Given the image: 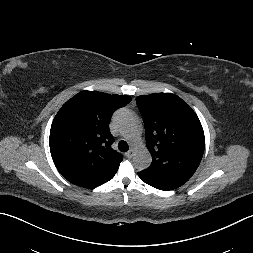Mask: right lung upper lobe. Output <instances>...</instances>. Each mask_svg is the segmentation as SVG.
Listing matches in <instances>:
<instances>
[{"instance_id":"obj_1","label":"right lung upper lobe","mask_w":253,"mask_h":253,"mask_svg":"<svg viewBox=\"0 0 253 253\" xmlns=\"http://www.w3.org/2000/svg\"><path fill=\"white\" fill-rule=\"evenodd\" d=\"M127 95L81 91L56 114L50 152L59 172L71 183L95 188L112 179L123 156L111 148L112 114L131 101Z\"/></svg>"}]
</instances>
